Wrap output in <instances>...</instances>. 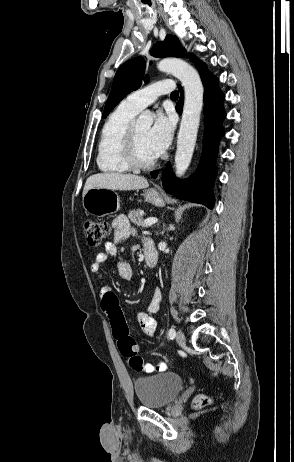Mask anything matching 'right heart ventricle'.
<instances>
[{"mask_svg":"<svg viewBox=\"0 0 294 462\" xmlns=\"http://www.w3.org/2000/svg\"><path fill=\"white\" fill-rule=\"evenodd\" d=\"M137 113L122 103L109 115L99 139L97 165L108 174H122L130 171L122 156L125 132Z\"/></svg>","mask_w":294,"mask_h":462,"instance_id":"obj_1","label":"right heart ventricle"}]
</instances>
